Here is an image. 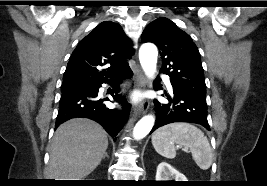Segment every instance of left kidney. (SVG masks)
I'll return each mask as SVG.
<instances>
[{
  "mask_svg": "<svg viewBox=\"0 0 267 186\" xmlns=\"http://www.w3.org/2000/svg\"><path fill=\"white\" fill-rule=\"evenodd\" d=\"M156 181H187L186 177L166 162L157 167Z\"/></svg>",
  "mask_w": 267,
  "mask_h": 186,
  "instance_id": "left-kidney-1",
  "label": "left kidney"
}]
</instances>
